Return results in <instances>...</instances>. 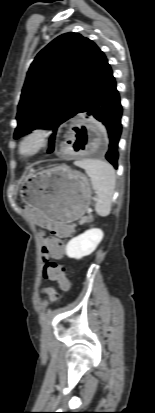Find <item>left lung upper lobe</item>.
Returning a JSON list of instances; mask_svg holds the SVG:
<instances>
[{"instance_id":"obj_1","label":"left lung upper lobe","mask_w":155,"mask_h":413,"mask_svg":"<svg viewBox=\"0 0 155 413\" xmlns=\"http://www.w3.org/2000/svg\"><path fill=\"white\" fill-rule=\"evenodd\" d=\"M107 59L97 45L78 33H65L43 48L27 73L18 105L14 138L36 128L54 129L79 113Z\"/></svg>"}]
</instances>
